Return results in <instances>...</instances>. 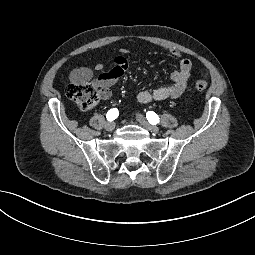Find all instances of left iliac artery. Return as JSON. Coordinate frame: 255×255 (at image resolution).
I'll return each mask as SVG.
<instances>
[{
    "label": "left iliac artery",
    "instance_id": "obj_1",
    "mask_svg": "<svg viewBox=\"0 0 255 255\" xmlns=\"http://www.w3.org/2000/svg\"><path fill=\"white\" fill-rule=\"evenodd\" d=\"M147 120L149 121L150 124L154 125L157 124L159 122V117L156 113H154L153 111H149L146 114Z\"/></svg>",
    "mask_w": 255,
    "mask_h": 255
}]
</instances>
